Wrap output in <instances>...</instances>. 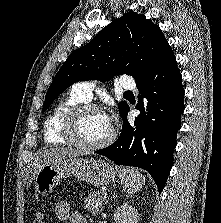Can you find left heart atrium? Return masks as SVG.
<instances>
[{"label": "left heart atrium", "instance_id": "1", "mask_svg": "<svg viewBox=\"0 0 221 223\" xmlns=\"http://www.w3.org/2000/svg\"><path fill=\"white\" fill-rule=\"evenodd\" d=\"M104 115H105L106 119L108 120V122L111 125V123H112V113L111 112H108V113H106Z\"/></svg>", "mask_w": 221, "mask_h": 223}]
</instances>
